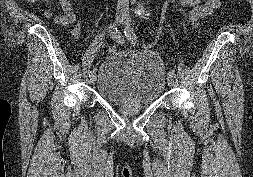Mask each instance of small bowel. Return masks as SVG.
<instances>
[{"label": "small bowel", "instance_id": "c3829d8e", "mask_svg": "<svg viewBox=\"0 0 253 177\" xmlns=\"http://www.w3.org/2000/svg\"><path fill=\"white\" fill-rule=\"evenodd\" d=\"M25 2L28 4L43 3L47 7L44 16H52L49 0H25ZM179 2L183 7L190 8L189 20L194 26H197L202 19L211 16L220 7V0H206L204 3L202 0H179ZM58 3L63 13L54 17L55 22L61 26L73 25V37L79 36L82 25L73 5L69 0H58Z\"/></svg>", "mask_w": 253, "mask_h": 177}]
</instances>
